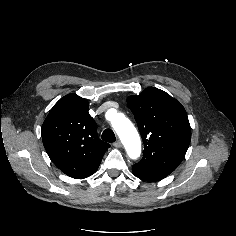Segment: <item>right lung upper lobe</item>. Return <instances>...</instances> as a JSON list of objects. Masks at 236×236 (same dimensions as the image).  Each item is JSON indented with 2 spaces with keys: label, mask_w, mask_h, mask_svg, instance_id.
Returning <instances> with one entry per match:
<instances>
[{
  "label": "right lung upper lobe",
  "mask_w": 236,
  "mask_h": 236,
  "mask_svg": "<svg viewBox=\"0 0 236 236\" xmlns=\"http://www.w3.org/2000/svg\"><path fill=\"white\" fill-rule=\"evenodd\" d=\"M89 104L76 94L62 97L42 125V141L52 162L66 175L83 179L95 173L110 144L101 141Z\"/></svg>",
  "instance_id": "right-lung-upper-lobe-1"
}]
</instances>
